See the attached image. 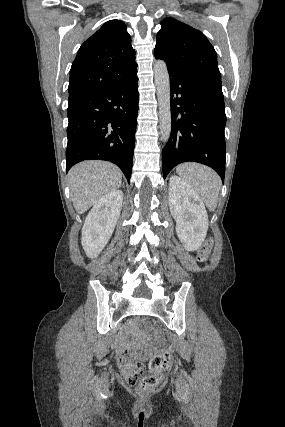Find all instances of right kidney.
Returning <instances> with one entry per match:
<instances>
[{"label": "right kidney", "mask_w": 285, "mask_h": 427, "mask_svg": "<svg viewBox=\"0 0 285 427\" xmlns=\"http://www.w3.org/2000/svg\"><path fill=\"white\" fill-rule=\"evenodd\" d=\"M122 202L123 192L116 190L102 197L88 213L81 239L88 257H97L108 243L119 218Z\"/></svg>", "instance_id": "right-kidney-1"}]
</instances>
